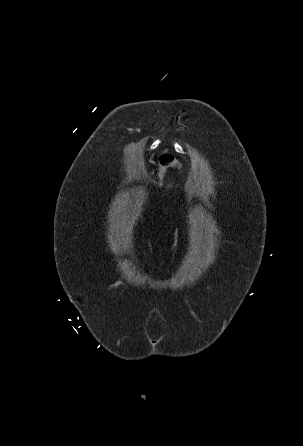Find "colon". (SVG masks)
Returning <instances> with one entry per match:
<instances>
[{"mask_svg": "<svg viewBox=\"0 0 303 446\" xmlns=\"http://www.w3.org/2000/svg\"><path fill=\"white\" fill-rule=\"evenodd\" d=\"M178 160L170 153H164L159 158V166L157 171V185L159 187L163 186L164 180L169 173L171 168L178 167Z\"/></svg>", "mask_w": 303, "mask_h": 446, "instance_id": "1", "label": "colon"}]
</instances>
